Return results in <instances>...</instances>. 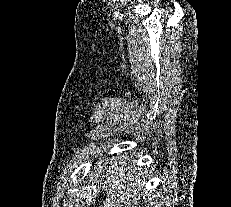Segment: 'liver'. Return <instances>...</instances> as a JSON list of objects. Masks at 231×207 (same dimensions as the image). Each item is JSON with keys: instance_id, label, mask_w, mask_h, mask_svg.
I'll list each match as a JSON object with an SVG mask.
<instances>
[{"instance_id": "liver-1", "label": "liver", "mask_w": 231, "mask_h": 207, "mask_svg": "<svg viewBox=\"0 0 231 207\" xmlns=\"http://www.w3.org/2000/svg\"><path fill=\"white\" fill-rule=\"evenodd\" d=\"M126 158L111 156L99 161L94 167L96 182L104 181L106 200L104 207H137L138 200L145 195V172L139 168H127Z\"/></svg>"}]
</instances>
